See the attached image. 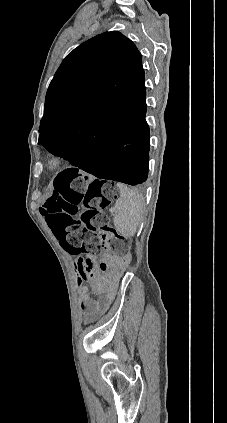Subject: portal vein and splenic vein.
<instances>
[{
  "label": "portal vein and splenic vein",
  "instance_id": "portal-vein-and-splenic-vein-1",
  "mask_svg": "<svg viewBox=\"0 0 227 423\" xmlns=\"http://www.w3.org/2000/svg\"><path fill=\"white\" fill-rule=\"evenodd\" d=\"M116 212V209L115 208H112L111 209V213H115Z\"/></svg>",
  "mask_w": 227,
  "mask_h": 423
}]
</instances>
